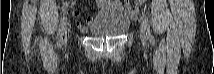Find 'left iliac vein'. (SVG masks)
Returning <instances> with one entry per match:
<instances>
[{
  "instance_id": "4c4485c4",
  "label": "left iliac vein",
  "mask_w": 214,
  "mask_h": 74,
  "mask_svg": "<svg viewBox=\"0 0 214 74\" xmlns=\"http://www.w3.org/2000/svg\"><path fill=\"white\" fill-rule=\"evenodd\" d=\"M140 32H141V40L145 44L148 39V27L144 20H142L141 25H140Z\"/></svg>"
}]
</instances>
